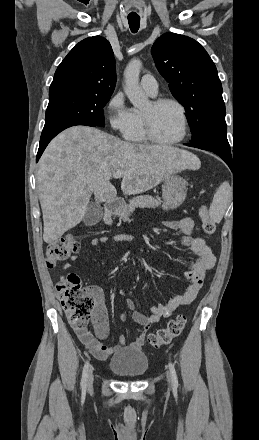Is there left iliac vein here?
<instances>
[{"label": "left iliac vein", "mask_w": 259, "mask_h": 440, "mask_svg": "<svg viewBox=\"0 0 259 440\" xmlns=\"http://www.w3.org/2000/svg\"><path fill=\"white\" fill-rule=\"evenodd\" d=\"M167 382L170 385L171 379H170V375L167 373Z\"/></svg>", "instance_id": "1"}]
</instances>
